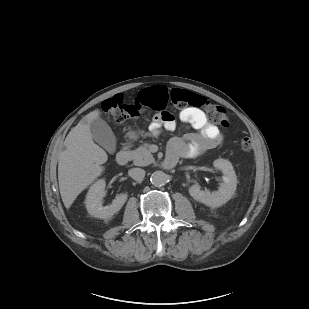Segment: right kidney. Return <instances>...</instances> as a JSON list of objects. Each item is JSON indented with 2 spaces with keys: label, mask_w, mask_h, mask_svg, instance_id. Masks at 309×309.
<instances>
[{
  "label": "right kidney",
  "mask_w": 309,
  "mask_h": 309,
  "mask_svg": "<svg viewBox=\"0 0 309 309\" xmlns=\"http://www.w3.org/2000/svg\"><path fill=\"white\" fill-rule=\"evenodd\" d=\"M106 182L104 179L96 181L89 189L85 205L90 215L100 218L109 219L117 213L127 201V193H121L115 197L110 206L103 207L102 199L106 195Z\"/></svg>",
  "instance_id": "ca27d5eb"
}]
</instances>
